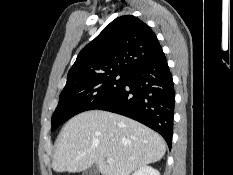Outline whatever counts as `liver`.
<instances>
[{
	"label": "liver",
	"mask_w": 233,
	"mask_h": 175,
	"mask_svg": "<svg viewBox=\"0 0 233 175\" xmlns=\"http://www.w3.org/2000/svg\"><path fill=\"white\" fill-rule=\"evenodd\" d=\"M165 152L163 138L147 126L119 114L92 110L64 125L52 168L76 173L96 164L102 175H130L161 160ZM108 158L114 162L108 164Z\"/></svg>",
	"instance_id": "1"
}]
</instances>
